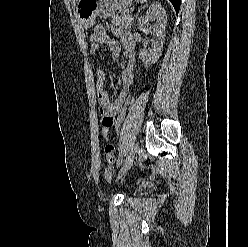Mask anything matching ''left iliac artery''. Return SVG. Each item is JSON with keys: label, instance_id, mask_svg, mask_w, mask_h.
Returning <instances> with one entry per match:
<instances>
[{"label": "left iliac artery", "instance_id": "44dca946", "mask_svg": "<svg viewBox=\"0 0 248 247\" xmlns=\"http://www.w3.org/2000/svg\"><path fill=\"white\" fill-rule=\"evenodd\" d=\"M123 162V158L122 156L119 157V159L117 160V166L119 167Z\"/></svg>", "mask_w": 248, "mask_h": 247}]
</instances>
